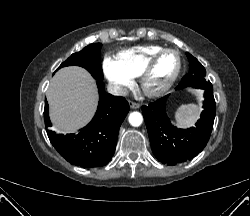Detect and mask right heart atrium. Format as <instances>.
Masks as SVG:
<instances>
[{
	"mask_svg": "<svg viewBox=\"0 0 250 216\" xmlns=\"http://www.w3.org/2000/svg\"><path fill=\"white\" fill-rule=\"evenodd\" d=\"M103 72L118 93H123L133 84V77L123 70L117 60L111 57L104 59Z\"/></svg>",
	"mask_w": 250,
	"mask_h": 216,
	"instance_id": "right-heart-atrium-1",
	"label": "right heart atrium"
}]
</instances>
